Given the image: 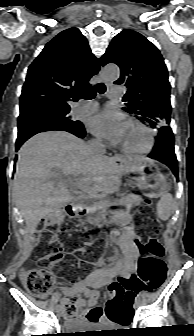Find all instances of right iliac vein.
<instances>
[{"label": "right iliac vein", "mask_w": 194, "mask_h": 336, "mask_svg": "<svg viewBox=\"0 0 194 336\" xmlns=\"http://www.w3.org/2000/svg\"><path fill=\"white\" fill-rule=\"evenodd\" d=\"M58 312L61 314L62 313V309H63V306L62 307H58Z\"/></svg>", "instance_id": "1"}]
</instances>
